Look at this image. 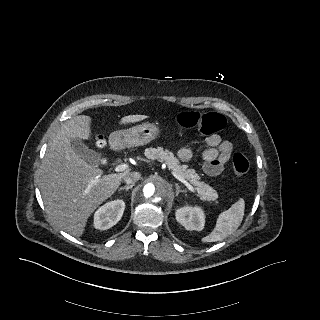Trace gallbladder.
Wrapping results in <instances>:
<instances>
[{
    "label": "gallbladder",
    "mask_w": 320,
    "mask_h": 320,
    "mask_svg": "<svg viewBox=\"0 0 320 320\" xmlns=\"http://www.w3.org/2000/svg\"><path fill=\"white\" fill-rule=\"evenodd\" d=\"M74 152L84 161L91 165H98L100 156L89 149L79 138L70 141Z\"/></svg>",
    "instance_id": "1"
}]
</instances>
